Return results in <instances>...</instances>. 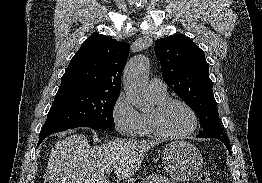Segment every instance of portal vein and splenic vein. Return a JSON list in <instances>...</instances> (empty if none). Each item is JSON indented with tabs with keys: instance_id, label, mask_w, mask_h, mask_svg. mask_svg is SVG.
<instances>
[{
	"instance_id": "1",
	"label": "portal vein and splenic vein",
	"mask_w": 262,
	"mask_h": 183,
	"mask_svg": "<svg viewBox=\"0 0 262 183\" xmlns=\"http://www.w3.org/2000/svg\"><path fill=\"white\" fill-rule=\"evenodd\" d=\"M111 172H112V169H110V170H107V171H106V174H108V175H109V174H111Z\"/></svg>"
}]
</instances>
